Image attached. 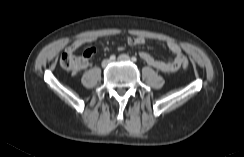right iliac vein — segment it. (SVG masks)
Here are the masks:
<instances>
[{
  "mask_svg": "<svg viewBox=\"0 0 244 157\" xmlns=\"http://www.w3.org/2000/svg\"><path fill=\"white\" fill-rule=\"evenodd\" d=\"M109 64H110V60L105 59V60H103V62H102V67L105 68V67H107Z\"/></svg>",
  "mask_w": 244,
  "mask_h": 157,
  "instance_id": "63e3f726",
  "label": "right iliac vein"
}]
</instances>
